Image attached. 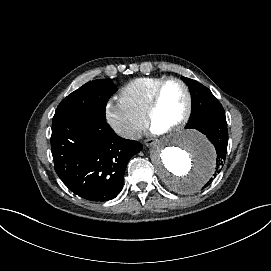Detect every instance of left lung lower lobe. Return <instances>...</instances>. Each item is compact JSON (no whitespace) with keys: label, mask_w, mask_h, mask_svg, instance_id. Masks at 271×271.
I'll list each match as a JSON object with an SVG mask.
<instances>
[{"label":"left lung lower lobe","mask_w":271,"mask_h":271,"mask_svg":"<svg viewBox=\"0 0 271 271\" xmlns=\"http://www.w3.org/2000/svg\"><path fill=\"white\" fill-rule=\"evenodd\" d=\"M195 129L206 135L216 149L215 177L221 172L227 153L228 130L224 109L221 107L208 111ZM212 180L213 178H211L205 186Z\"/></svg>","instance_id":"1"}]
</instances>
